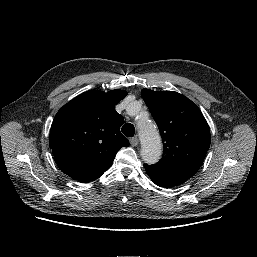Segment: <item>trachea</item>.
<instances>
[{
    "instance_id": "trachea-1",
    "label": "trachea",
    "mask_w": 257,
    "mask_h": 257,
    "mask_svg": "<svg viewBox=\"0 0 257 257\" xmlns=\"http://www.w3.org/2000/svg\"><path fill=\"white\" fill-rule=\"evenodd\" d=\"M122 132L127 137H133L135 133V128L132 124L127 123L122 127Z\"/></svg>"
}]
</instances>
